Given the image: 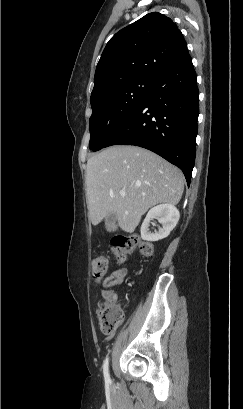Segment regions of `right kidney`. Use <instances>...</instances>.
Here are the masks:
<instances>
[{
    "label": "right kidney",
    "instance_id": "right-kidney-1",
    "mask_svg": "<svg viewBox=\"0 0 243 409\" xmlns=\"http://www.w3.org/2000/svg\"><path fill=\"white\" fill-rule=\"evenodd\" d=\"M180 218L178 209L171 204H161L149 210L141 225V237L146 241H158L166 238L170 232L175 228ZM157 219L162 228L158 232L150 233V222Z\"/></svg>",
    "mask_w": 243,
    "mask_h": 409
}]
</instances>
